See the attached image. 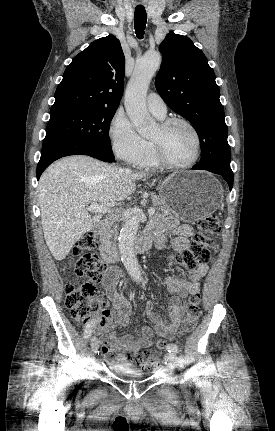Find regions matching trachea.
I'll return each instance as SVG.
<instances>
[{
    "label": "trachea",
    "mask_w": 275,
    "mask_h": 431,
    "mask_svg": "<svg viewBox=\"0 0 275 431\" xmlns=\"http://www.w3.org/2000/svg\"><path fill=\"white\" fill-rule=\"evenodd\" d=\"M147 22V14L144 8H135L134 13V28L136 36L142 39L144 36V30Z\"/></svg>",
    "instance_id": "1"
}]
</instances>
